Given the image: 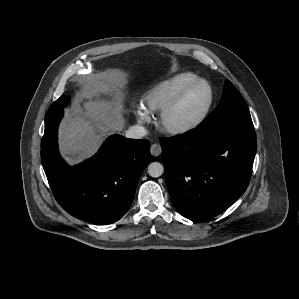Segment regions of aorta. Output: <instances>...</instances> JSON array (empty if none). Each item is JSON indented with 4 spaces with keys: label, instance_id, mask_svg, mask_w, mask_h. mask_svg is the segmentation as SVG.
<instances>
[{
    "label": "aorta",
    "instance_id": "obj_1",
    "mask_svg": "<svg viewBox=\"0 0 299 299\" xmlns=\"http://www.w3.org/2000/svg\"><path fill=\"white\" fill-rule=\"evenodd\" d=\"M164 172V166L159 162H152L148 165V174L151 177H160Z\"/></svg>",
    "mask_w": 299,
    "mask_h": 299
}]
</instances>
